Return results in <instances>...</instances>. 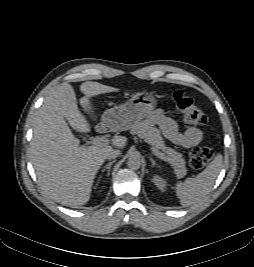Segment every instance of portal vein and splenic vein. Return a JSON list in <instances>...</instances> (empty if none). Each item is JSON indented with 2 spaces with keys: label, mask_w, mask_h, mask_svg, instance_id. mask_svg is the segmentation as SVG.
<instances>
[{
  "label": "portal vein and splenic vein",
  "mask_w": 254,
  "mask_h": 267,
  "mask_svg": "<svg viewBox=\"0 0 254 267\" xmlns=\"http://www.w3.org/2000/svg\"><path fill=\"white\" fill-rule=\"evenodd\" d=\"M94 145L97 146H104L107 145L109 143V140L105 137H97L93 140L92 142ZM152 153L157 156L158 158L166 161V156L164 153L158 151L157 149L151 148Z\"/></svg>",
  "instance_id": "portal-vein-and-splenic-vein-1"
}]
</instances>
